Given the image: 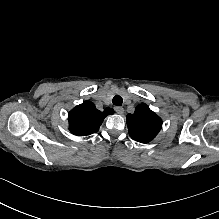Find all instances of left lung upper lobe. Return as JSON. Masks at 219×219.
Returning <instances> with one entry per match:
<instances>
[{
    "label": "left lung upper lobe",
    "instance_id": "obj_1",
    "mask_svg": "<svg viewBox=\"0 0 219 219\" xmlns=\"http://www.w3.org/2000/svg\"><path fill=\"white\" fill-rule=\"evenodd\" d=\"M127 126L132 139L148 143L162 127V120L146 104L138 105L134 114L127 115Z\"/></svg>",
    "mask_w": 219,
    "mask_h": 219
}]
</instances>
